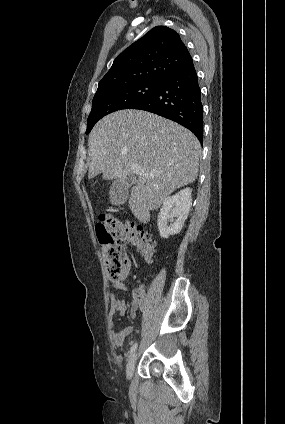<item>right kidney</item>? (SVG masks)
Wrapping results in <instances>:
<instances>
[{
	"mask_svg": "<svg viewBox=\"0 0 285 424\" xmlns=\"http://www.w3.org/2000/svg\"><path fill=\"white\" fill-rule=\"evenodd\" d=\"M192 189L185 188L175 195L167 197L158 214V230L162 238L180 233L192 206ZM174 218L176 220L174 221ZM168 221L172 222L168 225Z\"/></svg>",
	"mask_w": 285,
	"mask_h": 424,
	"instance_id": "obj_1",
	"label": "right kidney"
}]
</instances>
